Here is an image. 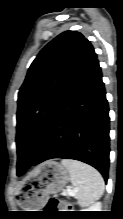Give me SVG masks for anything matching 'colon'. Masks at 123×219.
I'll list each match as a JSON object with an SVG mask.
<instances>
[{"mask_svg":"<svg viewBox=\"0 0 123 219\" xmlns=\"http://www.w3.org/2000/svg\"><path fill=\"white\" fill-rule=\"evenodd\" d=\"M47 207L50 210L71 211L72 206L68 202L58 200L56 198H50Z\"/></svg>","mask_w":123,"mask_h":219,"instance_id":"colon-1","label":"colon"}]
</instances>
